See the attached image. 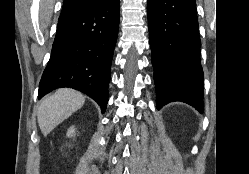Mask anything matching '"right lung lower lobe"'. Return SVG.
I'll return each instance as SVG.
<instances>
[{
    "label": "right lung lower lobe",
    "instance_id": "98d812e1",
    "mask_svg": "<svg viewBox=\"0 0 249 174\" xmlns=\"http://www.w3.org/2000/svg\"><path fill=\"white\" fill-rule=\"evenodd\" d=\"M119 9V0H111L59 17L39 99L56 88L70 87L92 97L105 112Z\"/></svg>",
    "mask_w": 249,
    "mask_h": 174
}]
</instances>
